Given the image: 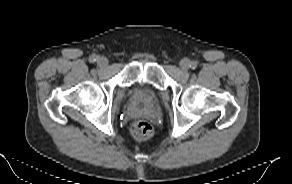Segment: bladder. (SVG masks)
Wrapping results in <instances>:
<instances>
[{
    "label": "bladder",
    "mask_w": 292,
    "mask_h": 184,
    "mask_svg": "<svg viewBox=\"0 0 292 184\" xmlns=\"http://www.w3.org/2000/svg\"><path fill=\"white\" fill-rule=\"evenodd\" d=\"M133 95L142 101L151 102L157 96V91L147 85H138L133 89Z\"/></svg>",
    "instance_id": "obj_1"
}]
</instances>
